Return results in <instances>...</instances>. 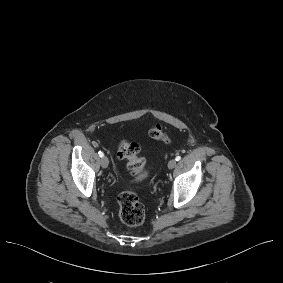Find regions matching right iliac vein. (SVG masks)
<instances>
[{"instance_id":"right-iliac-vein-1","label":"right iliac vein","mask_w":283,"mask_h":283,"mask_svg":"<svg viewBox=\"0 0 283 283\" xmlns=\"http://www.w3.org/2000/svg\"><path fill=\"white\" fill-rule=\"evenodd\" d=\"M108 164H109L108 158H107L106 156H103V157L101 158V165H102V167H103V168H107V167H108Z\"/></svg>"}]
</instances>
